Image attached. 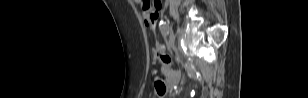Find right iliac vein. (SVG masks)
<instances>
[{
	"label": "right iliac vein",
	"mask_w": 308,
	"mask_h": 98,
	"mask_svg": "<svg viewBox=\"0 0 308 98\" xmlns=\"http://www.w3.org/2000/svg\"><path fill=\"white\" fill-rule=\"evenodd\" d=\"M175 37L171 29H169V48L174 47Z\"/></svg>",
	"instance_id": "63e3f726"
}]
</instances>
